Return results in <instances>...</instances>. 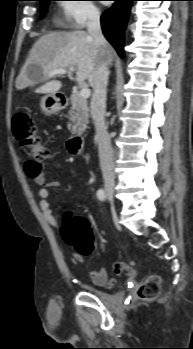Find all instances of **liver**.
Listing matches in <instances>:
<instances>
[{"instance_id": "6515ba94", "label": "liver", "mask_w": 193, "mask_h": 349, "mask_svg": "<svg viewBox=\"0 0 193 349\" xmlns=\"http://www.w3.org/2000/svg\"><path fill=\"white\" fill-rule=\"evenodd\" d=\"M112 58L113 48L108 43L100 48L86 31L49 32L33 45L17 77L16 87H33L40 81V75L33 72V67L40 70L42 78L49 77L51 71L75 67V81L83 83L87 80L93 87L99 64H109ZM61 87V81L54 79L39 87L36 93L55 94Z\"/></svg>"}]
</instances>
